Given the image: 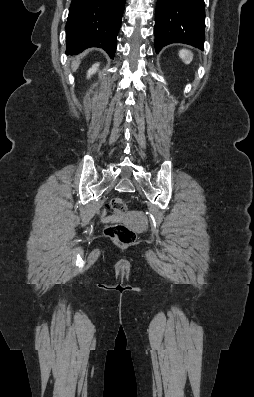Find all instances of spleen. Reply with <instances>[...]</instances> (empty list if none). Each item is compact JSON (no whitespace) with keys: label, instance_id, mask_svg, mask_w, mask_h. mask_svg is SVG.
<instances>
[{"label":"spleen","instance_id":"3e777b00","mask_svg":"<svg viewBox=\"0 0 254 397\" xmlns=\"http://www.w3.org/2000/svg\"><path fill=\"white\" fill-rule=\"evenodd\" d=\"M179 57L183 60L185 64H189L192 61L193 54L187 49H181L179 51Z\"/></svg>","mask_w":254,"mask_h":397}]
</instances>
